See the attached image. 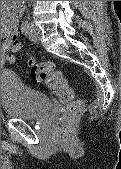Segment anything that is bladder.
Masks as SVG:
<instances>
[{
  "label": "bladder",
  "instance_id": "1",
  "mask_svg": "<svg viewBox=\"0 0 121 169\" xmlns=\"http://www.w3.org/2000/svg\"><path fill=\"white\" fill-rule=\"evenodd\" d=\"M1 104L7 117L21 120H39L52 108L47 95L27 86L10 71L1 73Z\"/></svg>",
  "mask_w": 121,
  "mask_h": 169
}]
</instances>
